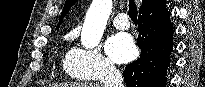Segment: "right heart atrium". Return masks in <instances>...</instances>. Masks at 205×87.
<instances>
[{
    "label": "right heart atrium",
    "instance_id": "d8ad5b80",
    "mask_svg": "<svg viewBox=\"0 0 205 87\" xmlns=\"http://www.w3.org/2000/svg\"><path fill=\"white\" fill-rule=\"evenodd\" d=\"M68 65L75 76L85 80H95L117 72L115 64L96 48H72Z\"/></svg>",
    "mask_w": 205,
    "mask_h": 87
}]
</instances>
